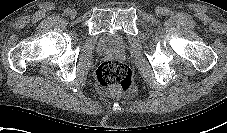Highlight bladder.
Instances as JSON below:
<instances>
[{"mask_svg": "<svg viewBox=\"0 0 227 133\" xmlns=\"http://www.w3.org/2000/svg\"><path fill=\"white\" fill-rule=\"evenodd\" d=\"M125 47V38L118 33H105L100 37L98 41V48L103 51H122Z\"/></svg>", "mask_w": 227, "mask_h": 133, "instance_id": "1", "label": "bladder"}]
</instances>
